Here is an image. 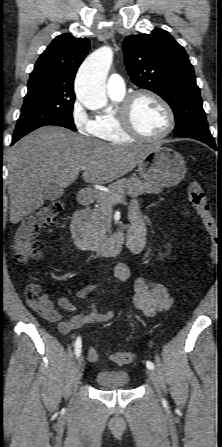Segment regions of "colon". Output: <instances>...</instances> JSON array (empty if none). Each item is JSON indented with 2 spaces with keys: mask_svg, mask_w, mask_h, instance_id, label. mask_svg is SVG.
<instances>
[{
  "mask_svg": "<svg viewBox=\"0 0 222 447\" xmlns=\"http://www.w3.org/2000/svg\"><path fill=\"white\" fill-rule=\"evenodd\" d=\"M188 197L195 208L202 225L212 240L211 260L216 258V240L218 238V228L215 218L212 215L211 207L208 203L206 193L198 182L190 183L188 187ZM64 209L62 200H55L27 216L16 228L12 241V258L18 265H26L32 260L41 256V247L38 234L52 226ZM40 294V287L36 283H30L26 287V297L29 302H35ZM91 357H95L91 353ZM110 359L118 364H129L134 360L133 353L129 351L114 352L110 354Z\"/></svg>",
  "mask_w": 222,
  "mask_h": 447,
  "instance_id": "obj_1",
  "label": "colon"
}]
</instances>
